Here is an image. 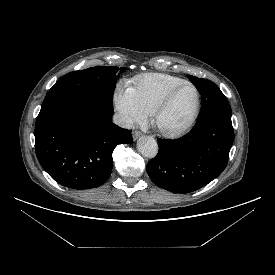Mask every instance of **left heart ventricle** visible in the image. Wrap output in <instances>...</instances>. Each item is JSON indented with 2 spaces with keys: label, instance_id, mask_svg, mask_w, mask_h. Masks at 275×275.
Returning <instances> with one entry per match:
<instances>
[{
  "label": "left heart ventricle",
  "instance_id": "obj_1",
  "mask_svg": "<svg viewBox=\"0 0 275 275\" xmlns=\"http://www.w3.org/2000/svg\"><path fill=\"white\" fill-rule=\"evenodd\" d=\"M195 105L196 94L193 88L190 86L181 87L158 116L157 125L164 130L180 128L191 118Z\"/></svg>",
  "mask_w": 275,
  "mask_h": 275
}]
</instances>
